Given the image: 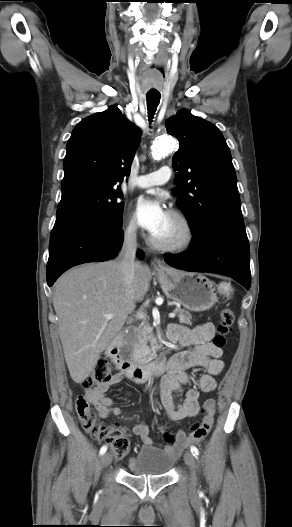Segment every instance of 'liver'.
<instances>
[{
    "instance_id": "1",
    "label": "liver",
    "mask_w": 292,
    "mask_h": 527,
    "mask_svg": "<svg viewBox=\"0 0 292 527\" xmlns=\"http://www.w3.org/2000/svg\"><path fill=\"white\" fill-rule=\"evenodd\" d=\"M149 282V269L136 262L128 290L119 260L85 264L56 281L53 306L65 361L74 382H84L94 370L135 303L143 300ZM106 314L114 317L106 319Z\"/></svg>"
}]
</instances>
